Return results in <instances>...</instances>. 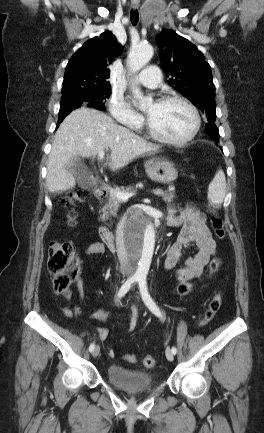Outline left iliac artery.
Segmentation results:
<instances>
[{
	"instance_id": "obj_1",
	"label": "left iliac artery",
	"mask_w": 264,
	"mask_h": 433,
	"mask_svg": "<svg viewBox=\"0 0 264 433\" xmlns=\"http://www.w3.org/2000/svg\"><path fill=\"white\" fill-rule=\"evenodd\" d=\"M138 284H139L140 293L142 295V299L146 304V306L152 311L153 314L160 317L161 319H164V316L162 315L159 307L156 305V303L151 298L148 292L146 278L145 277L139 278ZM172 353L173 354L177 353L176 347H172Z\"/></svg>"
}]
</instances>
